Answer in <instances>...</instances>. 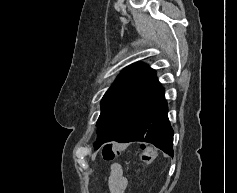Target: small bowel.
<instances>
[{
	"label": "small bowel",
	"instance_id": "small-bowel-1",
	"mask_svg": "<svg viewBox=\"0 0 237 193\" xmlns=\"http://www.w3.org/2000/svg\"><path fill=\"white\" fill-rule=\"evenodd\" d=\"M127 186L128 179L124 176L122 167L119 164H112L108 178L109 193H125Z\"/></svg>",
	"mask_w": 237,
	"mask_h": 193
}]
</instances>
